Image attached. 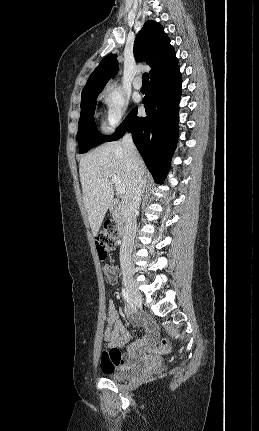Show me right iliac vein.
<instances>
[{
    "label": "right iliac vein",
    "instance_id": "1",
    "mask_svg": "<svg viewBox=\"0 0 259 431\" xmlns=\"http://www.w3.org/2000/svg\"><path fill=\"white\" fill-rule=\"evenodd\" d=\"M123 282H124V285H125L128 293H129V295H130L131 301L135 305H137L138 307H141L142 302H143L142 295L139 292V290L137 289L135 282H134L133 278L131 277V275L128 273H125L124 277H123Z\"/></svg>",
    "mask_w": 259,
    "mask_h": 431
}]
</instances>
